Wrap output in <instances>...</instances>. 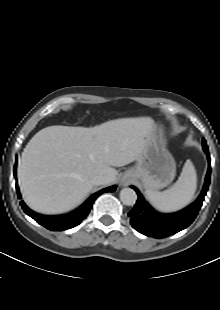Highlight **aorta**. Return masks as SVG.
I'll return each mask as SVG.
<instances>
[{
	"instance_id": "aorta-1",
	"label": "aorta",
	"mask_w": 220,
	"mask_h": 310,
	"mask_svg": "<svg viewBox=\"0 0 220 310\" xmlns=\"http://www.w3.org/2000/svg\"><path fill=\"white\" fill-rule=\"evenodd\" d=\"M120 200L126 206H132L137 200L136 192L131 188H123L120 191Z\"/></svg>"
}]
</instances>
